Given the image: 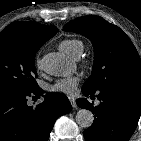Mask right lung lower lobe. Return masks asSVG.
<instances>
[{
  "label": "right lung lower lobe",
  "mask_w": 141,
  "mask_h": 141,
  "mask_svg": "<svg viewBox=\"0 0 141 141\" xmlns=\"http://www.w3.org/2000/svg\"><path fill=\"white\" fill-rule=\"evenodd\" d=\"M41 88L31 92L0 90V141H47L58 117L71 111L68 98L48 93L35 108L27 105L31 96L40 97Z\"/></svg>",
  "instance_id": "98d812e1"
}]
</instances>
